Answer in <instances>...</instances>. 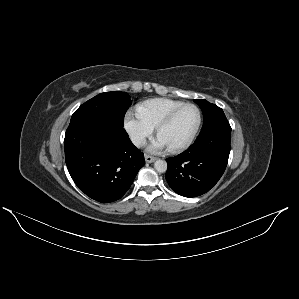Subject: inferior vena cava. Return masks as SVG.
Listing matches in <instances>:
<instances>
[{"instance_id": "602c4592", "label": "inferior vena cava", "mask_w": 299, "mask_h": 299, "mask_svg": "<svg viewBox=\"0 0 299 299\" xmlns=\"http://www.w3.org/2000/svg\"><path fill=\"white\" fill-rule=\"evenodd\" d=\"M131 141L135 146H142L145 144V139L141 136H133L131 137Z\"/></svg>"}]
</instances>
